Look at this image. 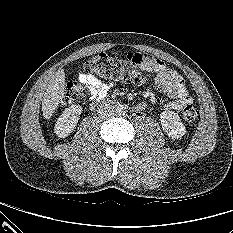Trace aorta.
I'll list each match as a JSON object with an SVG mask.
<instances>
[{
    "label": "aorta",
    "instance_id": "762f6f07",
    "mask_svg": "<svg viewBox=\"0 0 233 233\" xmlns=\"http://www.w3.org/2000/svg\"><path fill=\"white\" fill-rule=\"evenodd\" d=\"M115 111H116V114L122 116L126 113V107L124 105H118Z\"/></svg>",
    "mask_w": 233,
    "mask_h": 233
}]
</instances>
